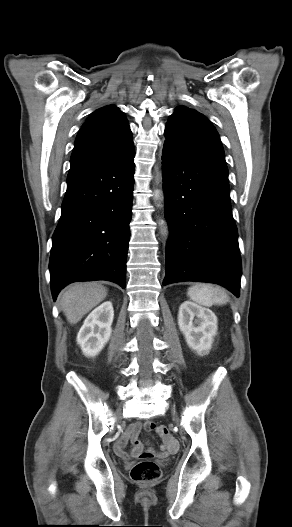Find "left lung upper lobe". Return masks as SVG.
<instances>
[{"mask_svg":"<svg viewBox=\"0 0 292 527\" xmlns=\"http://www.w3.org/2000/svg\"><path fill=\"white\" fill-rule=\"evenodd\" d=\"M166 141L181 153L226 165L218 132L201 113L181 106L170 116L165 128Z\"/></svg>","mask_w":292,"mask_h":527,"instance_id":"5c2ea615","label":"left lung upper lobe"}]
</instances>
